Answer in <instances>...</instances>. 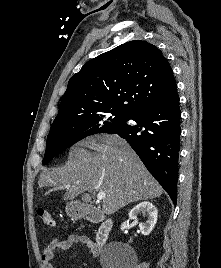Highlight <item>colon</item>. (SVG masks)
I'll return each instance as SVG.
<instances>
[{
    "instance_id": "colon-1",
    "label": "colon",
    "mask_w": 221,
    "mask_h": 268,
    "mask_svg": "<svg viewBox=\"0 0 221 268\" xmlns=\"http://www.w3.org/2000/svg\"><path fill=\"white\" fill-rule=\"evenodd\" d=\"M38 215L39 217L42 219V221L47 224L50 227H54L55 226V221L51 215V213L46 210V209H39L38 210Z\"/></svg>"
}]
</instances>
